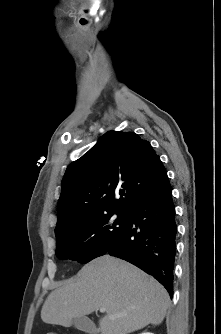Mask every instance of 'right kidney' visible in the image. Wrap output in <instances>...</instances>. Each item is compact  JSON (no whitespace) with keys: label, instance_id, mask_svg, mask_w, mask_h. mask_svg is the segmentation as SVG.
<instances>
[{"label":"right kidney","instance_id":"right-kidney-1","mask_svg":"<svg viewBox=\"0 0 221 334\" xmlns=\"http://www.w3.org/2000/svg\"><path fill=\"white\" fill-rule=\"evenodd\" d=\"M140 334H154V333H150V332H143V333H140Z\"/></svg>","mask_w":221,"mask_h":334}]
</instances>
